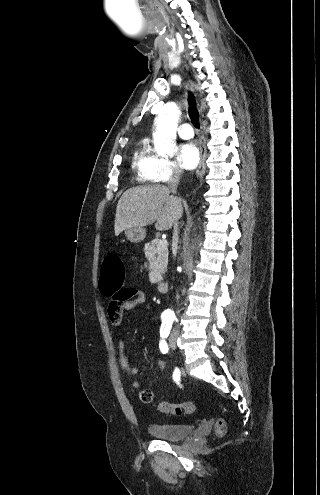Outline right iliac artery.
Returning a JSON list of instances; mask_svg holds the SVG:
<instances>
[{
  "label": "right iliac artery",
  "mask_w": 320,
  "mask_h": 495,
  "mask_svg": "<svg viewBox=\"0 0 320 495\" xmlns=\"http://www.w3.org/2000/svg\"><path fill=\"white\" fill-rule=\"evenodd\" d=\"M167 317H168L167 315H164L162 318L164 320H167ZM179 375H180L179 370L178 369H175V371H174V378L175 379H178L179 378Z\"/></svg>",
  "instance_id": "right-iliac-artery-1"
}]
</instances>
